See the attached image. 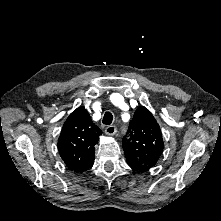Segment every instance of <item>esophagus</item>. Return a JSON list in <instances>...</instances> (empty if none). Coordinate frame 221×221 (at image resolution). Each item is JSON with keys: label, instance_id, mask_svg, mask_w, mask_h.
Wrapping results in <instances>:
<instances>
[{"label": "esophagus", "instance_id": "obj_1", "mask_svg": "<svg viewBox=\"0 0 221 221\" xmlns=\"http://www.w3.org/2000/svg\"><path fill=\"white\" fill-rule=\"evenodd\" d=\"M117 132V128L115 126H108L105 128V133L107 135H114Z\"/></svg>", "mask_w": 221, "mask_h": 221}]
</instances>
